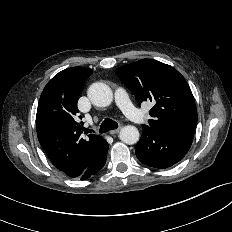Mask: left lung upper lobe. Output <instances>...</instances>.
I'll use <instances>...</instances> for the list:
<instances>
[{"mask_svg": "<svg viewBox=\"0 0 232 232\" xmlns=\"http://www.w3.org/2000/svg\"><path fill=\"white\" fill-rule=\"evenodd\" d=\"M115 72L133 92L139 105L143 101L154 104L148 127L195 131L197 109L194 97L184 77L172 66L142 59L117 68Z\"/></svg>", "mask_w": 232, "mask_h": 232, "instance_id": "obj_1", "label": "left lung upper lobe"}]
</instances>
